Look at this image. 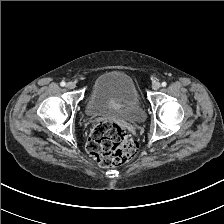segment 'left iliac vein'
Segmentation results:
<instances>
[{"label": "left iliac vein", "mask_w": 224, "mask_h": 224, "mask_svg": "<svg viewBox=\"0 0 224 224\" xmlns=\"http://www.w3.org/2000/svg\"><path fill=\"white\" fill-rule=\"evenodd\" d=\"M161 87V84L158 81L153 82L152 89L158 90Z\"/></svg>", "instance_id": "4c4485c4"}]
</instances>
